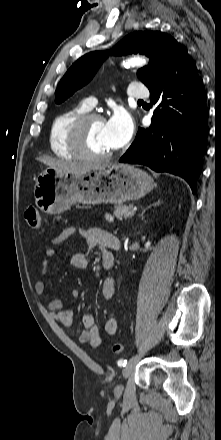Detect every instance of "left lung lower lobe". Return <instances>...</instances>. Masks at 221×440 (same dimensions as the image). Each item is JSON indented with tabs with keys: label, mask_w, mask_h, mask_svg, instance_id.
Masks as SVG:
<instances>
[{
	"label": "left lung lower lobe",
	"mask_w": 221,
	"mask_h": 440,
	"mask_svg": "<svg viewBox=\"0 0 221 440\" xmlns=\"http://www.w3.org/2000/svg\"><path fill=\"white\" fill-rule=\"evenodd\" d=\"M148 89L150 101L161 103L154 110L151 126L138 129L119 161L178 175L196 193L207 148L209 111L203 81L188 53L180 49Z\"/></svg>",
	"instance_id": "obj_1"
}]
</instances>
